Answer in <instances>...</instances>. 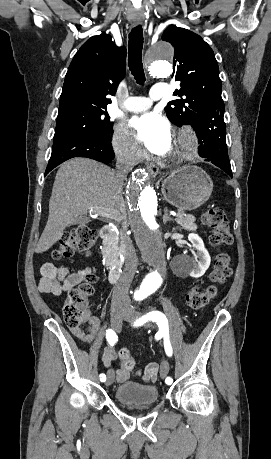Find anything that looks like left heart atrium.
Returning a JSON list of instances; mask_svg holds the SVG:
<instances>
[{"label":"left heart atrium","mask_w":271,"mask_h":459,"mask_svg":"<svg viewBox=\"0 0 271 459\" xmlns=\"http://www.w3.org/2000/svg\"><path fill=\"white\" fill-rule=\"evenodd\" d=\"M136 140L155 153H162L171 142V127L157 113H147L131 121Z\"/></svg>","instance_id":"obj_1"}]
</instances>
